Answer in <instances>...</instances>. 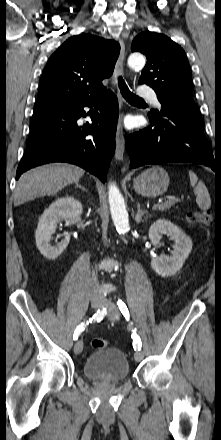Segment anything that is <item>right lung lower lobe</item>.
<instances>
[{
    "mask_svg": "<svg viewBox=\"0 0 221 440\" xmlns=\"http://www.w3.org/2000/svg\"><path fill=\"white\" fill-rule=\"evenodd\" d=\"M85 106L92 109L85 112ZM86 116L93 123L78 126L77 120ZM117 119L118 101L111 91L95 98L34 109L16 179L42 164L68 162L105 182L115 151Z\"/></svg>",
    "mask_w": 221,
    "mask_h": 440,
    "instance_id": "obj_1",
    "label": "right lung lower lobe"
}]
</instances>
